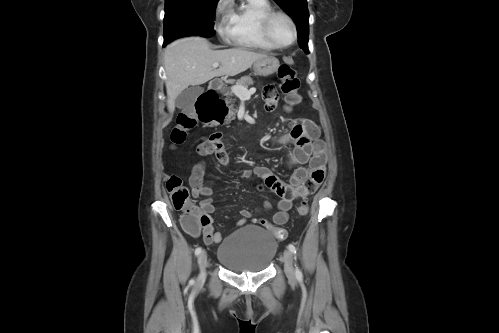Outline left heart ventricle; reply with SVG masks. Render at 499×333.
<instances>
[{"mask_svg": "<svg viewBox=\"0 0 499 333\" xmlns=\"http://www.w3.org/2000/svg\"><path fill=\"white\" fill-rule=\"evenodd\" d=\"M271 31L280 44H287L292 39V29L289 22L283 17H276L273 20Z\"/></svg>", "mask_w": 499, "mask_h": 333, "instance_id": "obj_1", "label": "left heart ventricle"}]
</instances>
